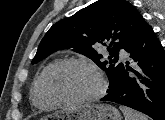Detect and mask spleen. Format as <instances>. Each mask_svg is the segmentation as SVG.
<instances>
[{
	"label": "spleen",
	"mask_w": 165,
	"mask_h": 120,
	"mask_svg": "<svg viewBox=\"0 0 165 120\" xmlns=\"http://www.w3.org/2000/svg\"><path fill=\"white\" fill-rule=\"evenodd\" d=\"M120 110L123 112L125 120H148L145 115L138 113L128 107L120 106Z\"/></svg>",
	"instance_id": "3e777b00"
}]
</instances>
